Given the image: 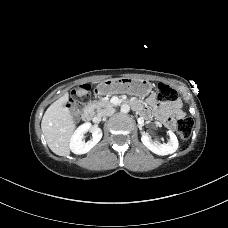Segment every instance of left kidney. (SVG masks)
<instances>
[{
    "mask_svg": "<svg viewBox=\"0 0 228 228\" xmlns=\"http://www.w3.org/2000/svg\"><path fill=\"white\" fill-rule=\"evenodd\" d=\"M168 134L170 137V141L168 143H159L158 141H153L146 134L141 137V141L150 151L157 155L164 156L172 154L178 149L179 143L176 135L171 130L168 131Z\"/></svg>",
    "mask_w": 228,
    "mask_h": 228,
    "instance_id": "1",
    "label": "left kidney"
}]
</instances>
